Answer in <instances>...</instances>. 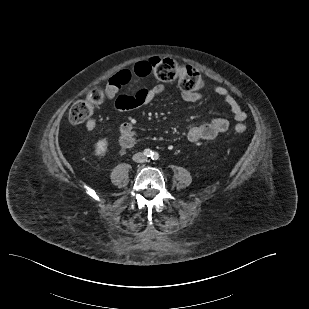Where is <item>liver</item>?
Instances as JSON below:
<instances>
[{"instance_id":"6515ba94","label":"liver","mask_w":309,"mask_h":309,"mask_svg":"<svg viewBox=\"0 0 309 309\" xmlns=\"http://www.w3.org/2000/svg\"><path fill=\"white\" fill-rule=\"evenodd\" d=\"M88 130H92L93 127L95 126V122L93 120H89L86 124Z\"/></svg>"}]
</instances>
